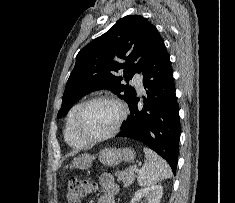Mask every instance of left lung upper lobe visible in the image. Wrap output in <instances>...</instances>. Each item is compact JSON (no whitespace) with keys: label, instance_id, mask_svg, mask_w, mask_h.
Masks as SVG:
<instances>
[{"label":"left lung upper lobe","instance_id":"left-lung-upper-lobe-1","mask_svg":"<svg viewBox=\"0 0 235 203\" xmlns=\"http://www.w3.org/2000/svg\"><path fill=\"white\" fill-rule=\"evenodd\" d=\"M160 39L156 27L144 17L121 18L77 54L57 118L64 116L83 96L100 89H110L129 105L136 91L121 81H128L142 71ZM119 72L124 76H118Z\"/></svg>","mask_w":235,"mask_h":203}]
</instances>
